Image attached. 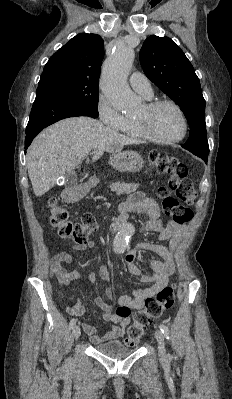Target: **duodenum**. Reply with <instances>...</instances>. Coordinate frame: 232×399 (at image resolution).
<instances>
[{"label":"duodenum","instance_id":"obj_1","mask_svg":"<svg viewBox=\"0 0 232 399\" xmlns=\"http://www.w3.org/2000/svg\"><path fill=\"white\" fill-rule=\"evenodd\" d=\"M83 193V190L81 187H73L71 189H69L66 194H65V198L69 201H73L78 199ZM124 222V218H118L113 226V229L116 230L117 228L120 227V225Z\"/></svg>","mask_w":232,"mask_h":399}]
</instances>
